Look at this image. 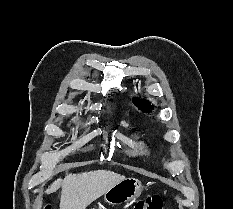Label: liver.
Here are the masks:
<instances>
[{"label":"liver","instance_id":"liver-1","mask_svg":"<svg viewBox=\"0 0 233 209\" xmlns=\"http://www.w3.org/2000/svg\"><path fill=\"white\" fill-rule=\"evenodd\" d=\"M124 178L109 170L67 174L64 179L54 181L46 193H53L61 186L60 209H86Z\"/></svg>","mask_w":233,"mask_h":209}]
</instances>
